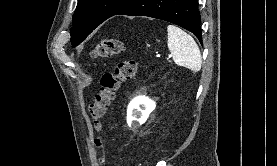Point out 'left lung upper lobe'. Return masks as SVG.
Segmentation results:
<instances>
[{"mask_svg":"<svg viewBox=\"0 0 277 166\" xmlns=\"http://www.w3.org/2000/svg\"><path fill=\"white\" fill-rule=\"evenodd\" d=\"M133 0H78L71 28L72 47L80 44L97 26Z\"/></svg>","mask_w":277,"mask_h":166,"instance_id":"obj_1","label":"left lung upper lobe"}]
</instances>
